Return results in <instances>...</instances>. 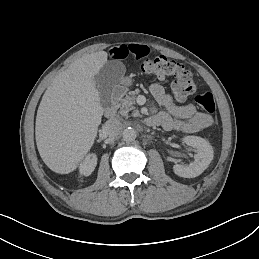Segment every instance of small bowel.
I'll use <instances>...</instances> for the list:
<instances>
[{"label":"small bowel","instance_id":"c3829d8e","mask_svg":"<svg viewBox=\"0 0 259 259\" xmlns=\"http://www.w3.org/2000/svg\"><path fill=\"white\" fill-rule=\"evenodd\" d=\"M149 54V48L143 44H121L108 50V56L113 60H123L128 57L142 59ZM150 92L159 105L165 108L154 115L157 126L166 131L183 133H196L213 124L211 115L199 112L194 104L177 105L162 85L155 83L150 87Z\"/></svg>","mask_w":259,"mask_h":259}]
</instances>
